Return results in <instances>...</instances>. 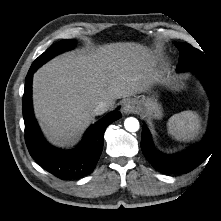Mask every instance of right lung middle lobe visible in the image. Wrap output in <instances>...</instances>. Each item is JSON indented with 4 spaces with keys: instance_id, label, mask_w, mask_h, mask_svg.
<instances>
[{
    "instance_id": "dd1d6c3e",
    "label": "right lung middle lobe",
    "mask_w": 221,
    "mask_h": 221,
    "mask_svg": "<svg viewBox=\"0 0 221 221\" xmlns=\"http://www.w3.org/2000/svg\"><path fill=\"white\" fill-rule=\"evenodd\" d=\"M75 41L71 39H64L54 45H51L42 55H40L32 64L31 67L39 68L42 64L53 58L55 55L70 50L74 47Z\"/></svg>"
}]
</instances>
